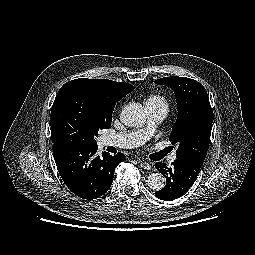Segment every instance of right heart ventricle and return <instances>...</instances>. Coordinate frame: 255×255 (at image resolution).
Masks as SVG:
<instances>
[{"label": "right heart ventricle", "mask_w": 255, "mask_h": 255, "mask_svg": "<svg viewBox=\"0 0 255 255\" xmlns=\"http://www.w3.org/2000/svg\"><path fill=\"white\" fill-rule=\"evenodd\" d=\"M145 105H160L167 107L166 99L161 95H151L147 98Z\"/></svg>", "instance_id": "obj_1"}]
</instances>
